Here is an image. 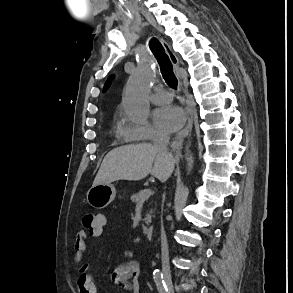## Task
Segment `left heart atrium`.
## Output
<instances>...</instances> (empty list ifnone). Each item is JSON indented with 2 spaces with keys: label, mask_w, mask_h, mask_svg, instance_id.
<instances>
[{
  "label": "left heart atrium",
  "mask_w": 293,
  "mask_h": 293,
  "mask_svg": "<svg viewBox=\"0 0 293 293\" xmlns=\"http://www.w3.org/2000/svg\"><path fill=\"white\" fill-rule=\"evenodd\" d=\"M154 122L164 132H174L185 120L183 110L175 105H167L156 109L153 113Z\"/></svg>",
  "instance_id": "obj_1"
}]
</instances>
